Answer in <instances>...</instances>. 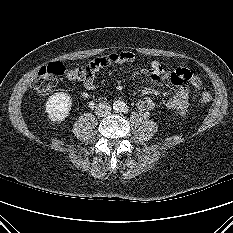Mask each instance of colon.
I'll return each mask as SVG.
<instances>
[{"label":"colon","mask_w":233,"mask_h":233,"mask_svg":"<svg viewBox=\"0 0 233 233\" xmlns=\"http://www.w3.org/2000/svg\"><path fill=\"white\" fill-rule=\"evenodd\" d=\"M97 66L98 60L96 58L86 65H79L72 69L68 72V76L75 80H85L94 74ZM65 73L66 68L62 63H51L39 70L32 81V87L39 95H48L57 84L59 78L62 77ZM185 79L195 87L200 86L199 78L192 72L187 73L185 75ZM200 100L204 104H209L212 101V96L209 92H203L201 94Z\"/></svg>","instance_id":"5ec220e1"}]
</instances>
